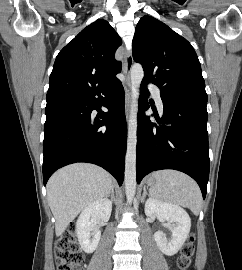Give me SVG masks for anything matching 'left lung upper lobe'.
Returning a JSON list of instances; mask_svg holds the SVG:
<instances>
[{"mask_svg": "<svg viewBox=\"0 0 242 270\" xmlns=\"http://www.w3.org/2000/svg\"><path fill=\"white\" fill-rule=\"evenodd\" d=\"M133 58L142 64L143 80L157 85L171 102H207L201 65L191 44L151 16L142 17L133 38Z\"/></svg>", "mask_w": 242, "mask_h": 270, "instance_id": "1", "label": "left lung upper lobe"}]
</instances>
